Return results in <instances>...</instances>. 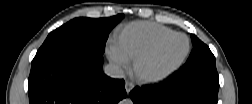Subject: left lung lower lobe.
I'll list each match as a JSON object with an SVG mask.
<instances>
[{"label": "left lung lower lobe", "instance_id": "left-lung-lower-lobe-1", "mask_svg": "<svg viewBox=\"0 0 252 104\" xmlns=\"http://www.w3.org/2000/svg\"><path fill=\"white\" fill-rule=\"evenodd\" d=\"M219 78L216 67L180 69L158 85L135 87L134 104H217Z\"/></svg>", "mask_w": 252, "mask_h": 104}]
</instances>
